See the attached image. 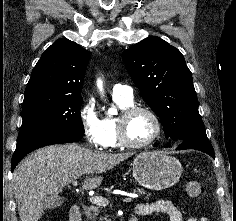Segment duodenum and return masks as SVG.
Masks as SVG:
<instances>
[{
  "label": "duodenum",
  "mask_w": 236,
  "mask_h": 221,
  "mask_svg": "<svg viewBox=\"0 0 236 221\" xmlns=\"http://www.w3.org/2000/svg\"><path fill=\"white\" fill-rule=\"evenodd\" d=\"M69 221H82V209L77 203L73 204L69 210ZM129 221H139L137 216H133Z\"/></svg>",
  "instance_id": "410a0bca"
}]
</instances>
